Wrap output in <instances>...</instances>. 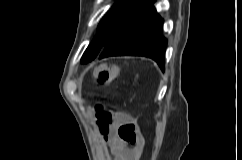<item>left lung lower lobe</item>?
<instances>
[{"label": "left lung lower lobe", "instance_id": "1", "mask_svg": "<svg viewBox=\"0 0 242 160\" xmlns=\"http://www.w3.org/2000/svg\"><path fill=\"white\" fill-rule=\"evenodd\" d=\"M162 26L163 19L153 4L104 46L99 59L117 55L146 56L164 70L167 40L162 36Z\"/></svg>", "mask_w": 242, "mask_h": 160}]
</instances>
